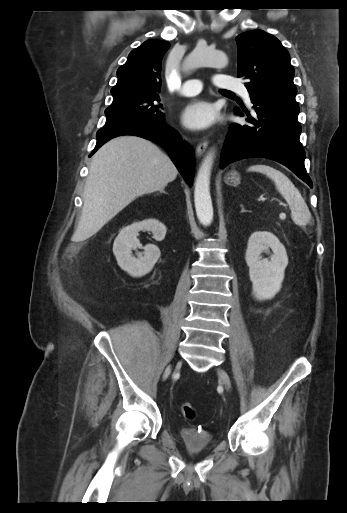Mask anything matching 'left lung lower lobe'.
<instances>
[{"label":"left lung lower lobe","instance_id":"0a47b994","mask_svg":"<svg viewBox=\"0 0 347 513\" xmlns=\"http://www.w3.org/2000/svg\"><path fill=\"white\" fill-rule=\"evenodd\" d=\"M252 115L236 109L242 123H232L221 152L220 166L249 157H262L277 161L306 182L312 181L304 166L305 152L299 137V107L295 96L257 94L250 95Z\"/></svg>","mask_w":347,"mask_h":513}]
</instances>
